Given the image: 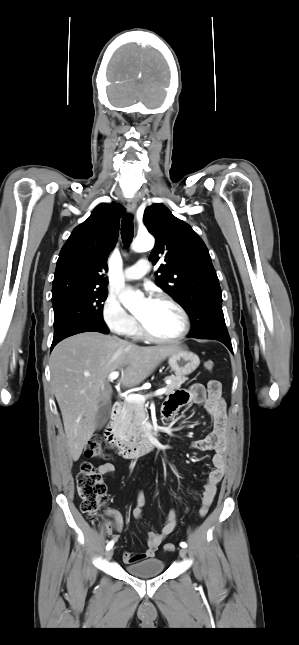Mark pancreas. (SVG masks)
<instances>
[{"label": "pancreas", "instance_id": "pancreas-1", "mask_svg": "<svg viewBox=\"0 0 299 645\" xmlns=\"http://www.w3.org/2000/svg\"><path fill=\"white\" fill-rule=\"evenodd\" d=\"M170 383L164 388L165 394L169 395L188 380L185 376H168L165 378ZM147 417L145 408L142 403L125 401L123 404V413L118 417L117 435L123 441H138L144 436V421Z\"/></svg>", "mask_w": 299, "mask_h": 645}]
</instances>
